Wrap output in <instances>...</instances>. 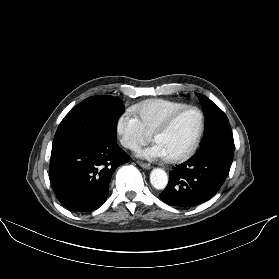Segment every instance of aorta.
Returning a JSON list of instances; mask_svg holds the SVG:
<instances>
[{"instance_id":"1","label":"aorta","mask_w":279,"mask_h":279,"mask_svg":"<svg viewBox=\"0 0 279 279\" xmlns=\"http://www.w3.org/2000/svg\"><path fill=\"white\" fill-rule=\"evenodd\" d=\"M150 182L155 189L162 190L168 184V176L161 168H155L150 174Z\"/></svg>"}]
</instances>
